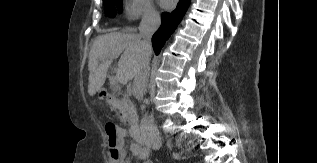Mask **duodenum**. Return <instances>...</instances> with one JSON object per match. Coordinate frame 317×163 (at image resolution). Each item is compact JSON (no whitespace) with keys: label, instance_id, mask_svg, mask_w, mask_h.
<instances>
[{"label":"duodenum","instance_id":"410a0bca","mask_svg":"<svg viewBox=\"0 0 317 163\" xmlns=\"http://www.w3.org/2000/svg\"><path fill=\"white\" fill-rule=\"evenodd\" d=\"M102 94L107 98V99H110L111 98V92L107 89H103L102 90ZM130 132H131V135L133 137V139L136 141V143L140 146V147H144L147 149L146 147V142H145V138H144V135H143V132L141 130V127L137 124H133L131 125V128H130Z\"/></svg>","mask_w":317,"mask_h":163}]
</instances>
